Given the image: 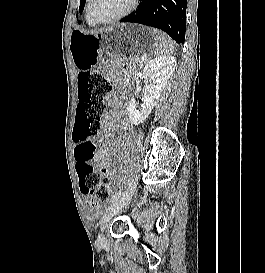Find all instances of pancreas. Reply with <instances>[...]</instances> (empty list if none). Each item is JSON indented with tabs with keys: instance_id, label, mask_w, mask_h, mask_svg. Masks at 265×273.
Masks as SVG:
<instances>
[{
	"instance_id": "pancreas-1",
	"label": "pancreas",
	"mask_w": 265,
	"mask_h": 273,
	"mask_svg": "<svg viewBox=\"0 0 265 273\" xmlns=\"http://www.w3.org/2000/svg\"><path fill=\"white\" fill-rule=\"evenodd\" d=\"M131 63L133 65H143L145 63V61L142 57H136L131 60Z\"/></svg>"
}]
</instances>
